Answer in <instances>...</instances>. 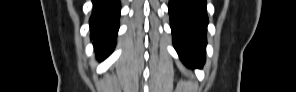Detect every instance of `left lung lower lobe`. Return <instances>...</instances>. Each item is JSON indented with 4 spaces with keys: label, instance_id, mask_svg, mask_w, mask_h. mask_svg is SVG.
Listing matches in <instances>:
<instances>
[{
    "label": "left lung lower lobe",
    "instance_id": "obj_1",
    "mask_svg": "<svg viewBox=\"0 0 296 92\" xmlns=\"http://www.w3.org/2000/svg\"><path fill=\"white\" fill-rule=\"evenodd\" d=\"M173 44L187 66L202 67L205 61L208 17L206 0H169Z\"/></svg>",
    "mask_w": 296,
    "mask_h": 92
}]
</instances>
